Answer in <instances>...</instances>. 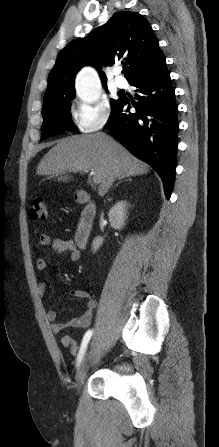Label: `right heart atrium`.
I'll use <instances>...</instances> for the list:
<instances>
[{"mask_svg": "<svg viewBox=\"0 0 219 447\" xmlns=\"http://www.w3.org/2000/svg\"><path fill=\"white\" fill-rule=\"evenodd\" d=\"M110 107L96 97L90 104H80L75 111V121L82 133L100 130L109 120Z\"/></svg>", "mask_w": 219, "mask_h": 447, "instance_id": "d8ad5b80", "label": "right heart atrium"}]
</instances>
